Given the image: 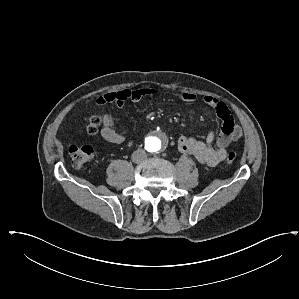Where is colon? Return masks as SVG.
Masks as SVG:
<instances>
[{
  "label": "colon",
  "mask_w": 299,
  "mask_h": 299,
  "mask_svg": "<svg viewBox=\"0 0 299 299\" xmlns=\"http://www.w3.org/2000/svg\"><path fill=\"white\" fill-rule=\"evenodd\" d=\"M100 121L101 119L98 115L93 114L88 116L84 120V127L87 133L96 134ZM69 154L73 165L77 168L89 163L94 157L93 148L88 144L72 145L69 148ZM235 159L236 154L234 152H230L227 156V163L231 164L235 161Z\"/></svg>",
  "instance_id": "colon-1"
}]
</instances>
